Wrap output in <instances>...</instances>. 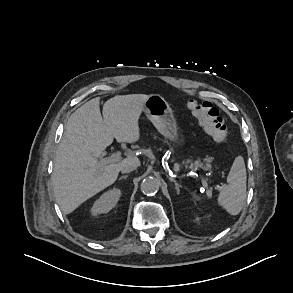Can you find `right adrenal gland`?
<instances>
[{"label": "right adrenal gland", "mask_w": 293, "mask_h": 293, "mask_svg": "<svg viewBox=\"0 0 293 293\" xmlns=\"http://www.w3.org/2000/svg\"><path fill=\"white\" fill-rule=\"evenodd\" d=\"M127 177H128V175L121 176V177L119 178V180L126 179Z\"/></svg>", "instance_id": "right-adrenal-gland-1"}]
</instances>
